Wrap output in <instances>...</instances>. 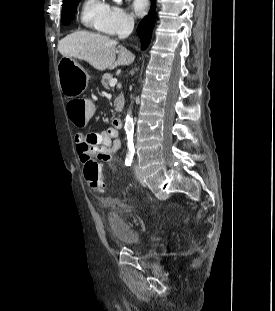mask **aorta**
Returning <instances> with one entry per match:
<instances>
[{"instance_id":"aorta-1","label":"aorta","mask_w":275,"mask_h":311,"mask_svg":"<svg viewBox=\"0 0 275 311\" xmlns=\"http://www.w3.org/2000/svg\"><path fill=\"white\" fill-rule=\"evenodd\" d=\"M113 1L117 4H122V0H113ZM124 129L127 135L128 150L129 152L132 153L134 151V144H133L134 121H133L131 109H129L126 114Z\"/></svg>"}]
</instances>
